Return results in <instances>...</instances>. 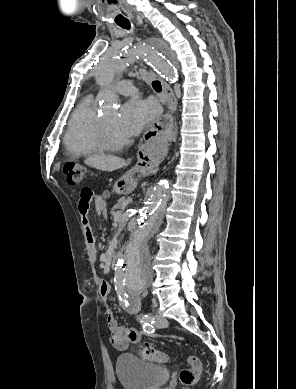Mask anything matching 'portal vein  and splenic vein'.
I'll list each match as a JSON object with an SVG mask.
<instances>
[{
	"label": "portal vein and splenic vein",
	"mask_w": 296,
	"mask_h": 389,
	"mask_svg": "<svg viewBox=\"0 0 296 389\" xmlns=\"http://www.w3.org/2000/svg\"><path fill=\"white\" fill-rule=\"evenodd\" d=\"M121 212L120 213H117L115 216H114V220L115 221H119L121 219Z\"/></svg>",
	"instance_id": "portal-vein-and-splenic-vein-1"
}]
</instances>
